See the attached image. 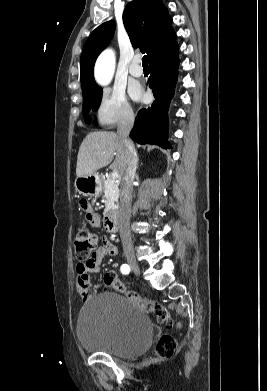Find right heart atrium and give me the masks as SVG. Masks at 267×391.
<instances>
[{
  "label": "right heart atrium",
  "mask_w": 267,
  "mask_h": 391,
  "mask_svg": "<svg viewBox=\"0 0 267 391\" xmlns=\"http://www.w3.org/2000/svg\"><path fill=\"white\" fill-rule=\"evenodd\" d=\"M96 118L103 127L130 123L134 112L124 92L120 89L104 90L96 108Z\"/></svg>",
  "instance_id": "d8ad5b80"
}]
</instances>
